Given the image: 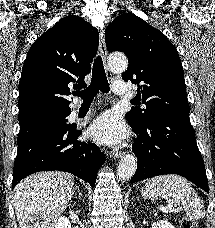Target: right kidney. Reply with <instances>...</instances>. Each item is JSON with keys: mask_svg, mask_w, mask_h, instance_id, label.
<instances>
[{"mask_svg": "<svg viewBox=\"0 0 215 228\" xmlns=\"http://www.w3.org/2000/svg\"><path fill=\"white\" fill-rule=\"evenodd\" d=\"M54 228H71V224L68 220V218H65V216H62V218H59L56 226Z\"/></svg>", "mask_w": 215, "mask_h": 228, "instance_id": "right-kidney-1", "label": "right kidney"}]
</instances>
